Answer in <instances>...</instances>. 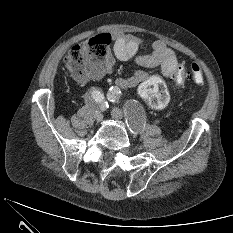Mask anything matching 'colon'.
I'll list each match as a JSON object with an SVG mask.
<instances>
[{"instance_id": "1", "label": "colon", "mask_w": 233, "mask_h": 233, "mask_svg": "<svg viewBox=\"0 0 233 233\" xmlns=\"http://www.w3.org/2000/svg\"><path fill=\"white\" fill-rule=\"evenodd\" d=\"M111 38L101 34L74 45L67 54L66 66L76 79H84L90 76H98L104 68V60L108 53ZM177 85H182L187 79L196 84H201L204 74L201 66L194 62L190 71L180 65L172 76ZM139 94L145 102L154 110L164 109L169 102V93L166 85L159 77L153 76L143 81L139 88Z\"/></svg>"}]
</instances>
